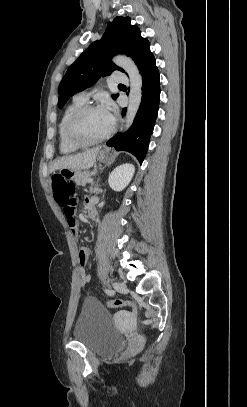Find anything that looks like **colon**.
Segmentation results:
<instances>
[{
	"instance_id": "1",
	"label": "colon",
	"mask_w": 247,
	"mask_h": 407,
	"mask_svg": "<svg viewBox=\"0 0 247 407\" xmlns=\"http://www.w3.org/2000/svg\"><path fill=\"white\" fill-rule=\"evenodd\" d=\"M53 195L59 205H64L75 193V185L72 181L65 179L63 176L55 175L52 178ZM108 307H128L134 308L135 303L128 300H112L106 302Z\"/></svg>"
}]
</instances>
